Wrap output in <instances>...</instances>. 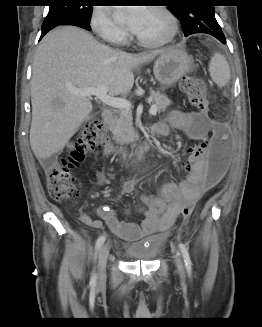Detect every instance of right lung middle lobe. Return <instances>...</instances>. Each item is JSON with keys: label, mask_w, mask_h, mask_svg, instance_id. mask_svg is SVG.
<instances>
[{"label": "right lung middle lobe", "mask_w": 262, "mask_h": 327, "mask_svg": "<svg viewBox=\"0 0 262 327\" xmlns=\"http://www.w3.org/2000/svg\"><path fill=\"white\" fill-rule=\"evenodd\" d=\"M68 1L67 5H53L50 6L48 15L46 16L44 22H49L59 18H77L86 22L90 21L92 6H80L74 4V0H60Z\"/></svg>", "instance_id": "obj_1"}]
</instances>
